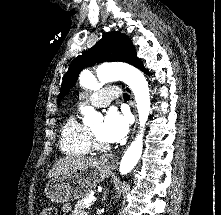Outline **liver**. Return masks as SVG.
<instances>
[{
	"instance_id": "liver-1",
	"label": "liver",
	"mask_w": 221,
	"mask_h": 215,
	"mask_svg": "<svg viewBox=\"0 0 221 215\" xmlns=\"http://www.w3.org/2000/svg\"><path fill=\"white\" fill-rule=\"evenodd\" d=\"M95 159L66 156L58 160L53 168L48 172L47 178H57L84 169L91 165Z\"/></svg>"
}]
</instances>
